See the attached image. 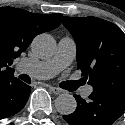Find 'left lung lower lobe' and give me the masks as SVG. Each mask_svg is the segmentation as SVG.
Listing matches in <instances>:
<instances>
[{
    "instance_id": "1",
    "label": "left lung lower lobe",
    "mask_w": 125,
    "mask_h": 125,
    "mask_svg": "<svg viewBox=\"0 0 125 125\" xmlns=\"http://www.w3.org/2000/svg\"><path fill=\"white\" fill-rule=\"evenodd\" d=\"M74 97L76 110L63 116L70 125H112L125 110V94L93 91L89 100Z\"/></svg>"
}]
</instances>
